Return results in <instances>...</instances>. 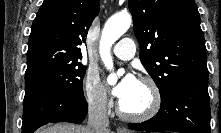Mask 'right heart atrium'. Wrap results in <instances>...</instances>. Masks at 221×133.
Segmentation results:
<instances>
[{"label": "right heart atrium", "mask_w": 221, "mask_h": 133, "mask_svg": "<svg viewBox=\"0 0 221 133\" xmlns=\"http://www.w3.org/2000/svg\"><path fill=\"white\" fill-rule=\"evenodd\" d=\"M84 97L88 107L96 112L105 113L109 110L111 102L99 75L95 71H88L83 81Z\"/></svg>", "instance_id": "1"}]
</instances>
